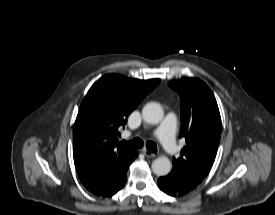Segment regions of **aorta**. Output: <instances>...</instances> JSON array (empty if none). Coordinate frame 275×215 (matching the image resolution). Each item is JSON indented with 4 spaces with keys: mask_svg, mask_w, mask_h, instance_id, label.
Here are the masks:
<instances>
[{
    "mask_svg": "<svg viewBox=\"0 0 275 215\" xmlns=\"http://www.w3.org/2000/svg\"><path fill=\"white\" fill-rule=\"evenodd\" d=\"M163 116V109L158 103H147L142 109V117L144 121L149 124L155 125L160 123L163 119ZM171 168V161L165 156L156 158L152 163V171L158 176L167 175L171 171Z\"/></svg>",
    "mask_w": 275,
    "mask_h": 215,
    "instance_id": "aorta-1",
    "label": "aorta"
}]
</instances>
